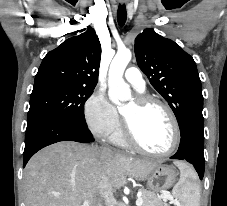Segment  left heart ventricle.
<instances>
[{
  "mask_svg": "<svg viewBox=\"0 0 227 206\" xmlns=\"http://www.w3.org/2000/svg\"><path fill=\"white\" fill-rule=\"evenodd\" d=\"M122 114L143 147L154 152H163L171 147L173 126L162 108L149 106L141 109L132 100L122 109Z\"/></svg>",
  "mask_w": 227,
  "mask_h": 206,
  "instance_id": "1",
  "label": "left heart ventricle"
}]
</instances>
